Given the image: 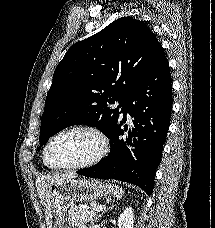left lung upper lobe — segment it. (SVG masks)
<instances>
[{
  "mask_svg": "<svg viewBox=\"0 0 215 228\" xmlns=\"http://www.w3.org/2000/svg\"><path fill=\"white\" fill-rule=\"evenodd\" d=\"M145 22L123 17L75 43L58 64L41 118L40 150L60 130L85 124L108 138L123 106L162 50ZM118 102L117 108L109 105Z\"/></svg>",
  "mask_w": 215,
  "mask_h": 228,
  "instance_id": "obj_1",
  "label": "left lung upper lobe"
}]
</instances>
